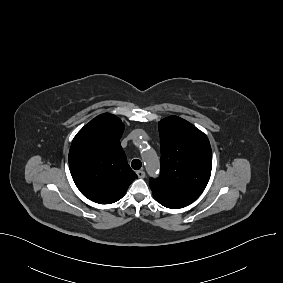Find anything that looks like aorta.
<instances>
[{
  "instance_id": "obj_1",
  "label": "aorta",
  "mask_w": 283,
  "mask_h": 283,
  "mask_svg": "<svg viewBox=\"0 0 283 283\" xmlns=\"http://www.w3.org/2000/svg\"><path fill=\"white\" fill-rule=\"evenodd\" d=\"M143 160L148 174L152 177H156L159 173V160L157 155L149 149L143 153Z\"/></svg>"
}]
</instances>
